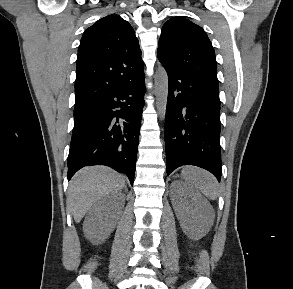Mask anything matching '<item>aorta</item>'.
I'll return each instance as SVG.
<instances>
[{
	"instance_id": "1",
	"label": "aorta",
	"mask_w": 293,
	"mask_h": 289,
	"mask_svg": "<svg viewBox=\"0 0 293 289\" xmlns=\"http://www.w3.org/2000/svg\"><path fill=\"white\" fill-rule=\"evenodd\" d=\"M156 108L161 119L165 118L168 98V75L163 67H159L154 76Z\"/></svg>"
}]
</instances>
